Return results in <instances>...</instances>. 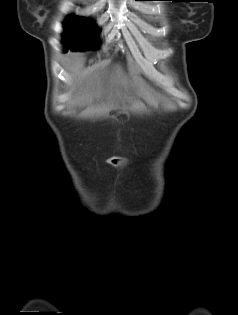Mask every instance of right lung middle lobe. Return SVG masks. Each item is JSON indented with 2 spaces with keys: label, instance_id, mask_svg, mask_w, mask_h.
I'll use <instances>...</instances> for the list:
<instances>
[{
  "label": "right lung middle lobe",
  "instance_id": "right-lung-middle-lobe-1",
  "mask_svg": "<svg viewBox=\"0 0 238 315\" xmlns=\"http://www.w3.org/2000/svg\"><path fill=\"white\" fill-rule=\"evenodd\" d=\"M63 44L71 50H95L98 45V28L93 20L81 16L70 15L64 23Z\"/></svg>",
  "mask_w": 238,
  "mask_h": 315
}]
</instances>
